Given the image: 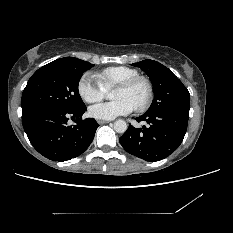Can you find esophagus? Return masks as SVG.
Masks as SVG:
<instances>
[{
  "label": "esophagus",
  "instance_id": "34e87169",
  "mask_svg": "<svg viewBox=\"0 0 233 233\" xmlns=\"http://www.w3.org/2000/svg\"><path fill=\"white\" fill-rule=\"evenodd\" d=\"M97 122H98V124H100V125L110 123V121H106V120H98Z\"/></svg>",
  "mask_w": 233,
  "mask_h": 233
}]
</instances>
